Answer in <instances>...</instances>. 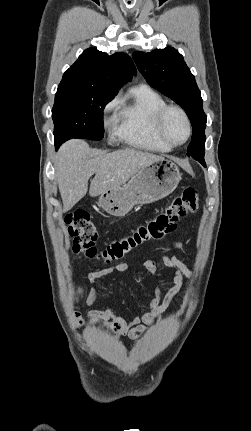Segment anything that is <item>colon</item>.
Listing matches in <instances>:
<instances>
[{
  "label": "colon",
  "instance_id": "1",
  "mask_svg": "<svg viewBox=\"0 0 251 431\" xmlns=\"http://www.w3.org/2000/svg\"><path fill=\"white\" fill-rule=\"evenodd\" d=\"M197 209V192L193 187H186L152 219L140 224L129 235L113 240L102 250L96 247L98 231L88 213L83 211L70 213L65 217V223L75 254L102 263H111L122 259L138 246L160 241L172 234L179 220Z\"/></svg>",
  "mask_w": 251,
  "mask_h": 431
}]
</instances>
